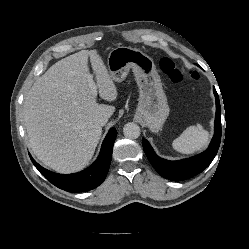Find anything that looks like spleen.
Here are the masks:
<instances>
[{
    "mask_svg": "<svg viewBox=\"0 0 249 249\" xmlns=\"http://www.w3.org/2000/svg\"><path fill=\"white\" fill-rule=\"evenodd\" d=\"M208 140L209 133L198 124L186 128L183 133L173 141L172 146L180 153L192 154L201 150L208 143Z\"/></svg>",
    "mask_w": 249,
    "mask_h": 249,
    "instance_id": "1",
    "label": "spleen"
}]
</instances>
